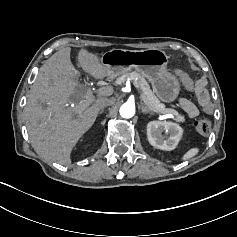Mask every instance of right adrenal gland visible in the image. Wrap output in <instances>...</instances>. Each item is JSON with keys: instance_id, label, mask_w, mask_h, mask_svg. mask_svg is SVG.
I'll use <instances>...</instances> for the list:
<instances>
[{"instance_id": "1", "label": "right adrenal gland", "mask_w": 237, "mask_h": 237, "mask_svg": "<svg viewBox=\"0 0 237 237\" xmlns=\"http://www.w3.org/2000/svg\"><path fill=\"white\" fill-rule=\"evenodd\" d=\"M103 112H104V109H101L100 112H99V114H102Z\"/></svg>"}]
</instances>
